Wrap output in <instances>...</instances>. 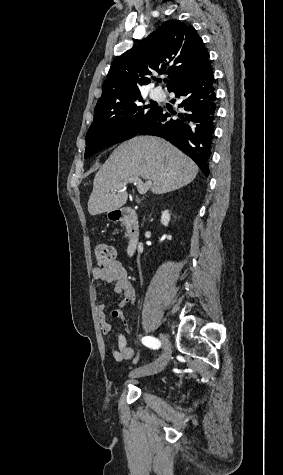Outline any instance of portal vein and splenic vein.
<instances>
[{
	"label": "portal vein and splenic vein",
	"instance_id": "portal-vein-and-splenic-vein-1",
	"mask_svg": "<svg viewBox=\"0 0 283 475\" xmlns=\"http://www.w3.org/2000/svg\"><path fill=\"white\" fill-rule=\"evenodd\" d=\"M127 184H134L139 194H146L149 188H151L152 182H146V184H143V182H141L138 176H132V178H128V180H124L123 184H116L115 188L116 190H121V188H125Z\"/></svg>",
	"mask_w": 283,
	"mask_h": 475
}]
</instances>
